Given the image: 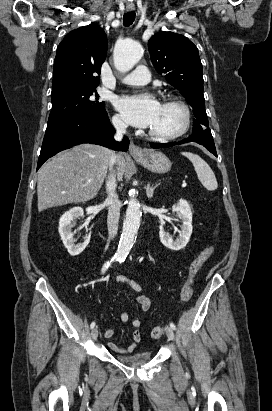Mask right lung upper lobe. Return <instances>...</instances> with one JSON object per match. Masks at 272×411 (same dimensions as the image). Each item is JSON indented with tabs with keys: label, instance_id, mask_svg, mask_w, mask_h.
<instances>
[{
	"label": "right lung upper lobe",
	"instance_id": "cb5924a9",
	"mask_svg": "<svg viewBox=\"0 0 272 411\" xmlns=\"http://www.w3.org/2000/svg\"><path fill=\"white\" fill-rule=\"evenodd\" d=\"M107 37L97 24L68 33L57 48L53 67L52 97L86 87H97L106 58Z\"/></svg>",
	"mask_w": 272,
	"mask_h": 411
}]
</instances>
